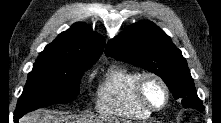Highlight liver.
I'll return each instance as SVG.
<instances>
[{
    "mask_svg": "<svg viewBox=\"0 0 221 123\" xmlns=\"http://www.w3.org/2000/svg\"><path fill=\"white\" fill-rule=\"evenodd\" d=\"M102 120L92 118L58 115V112L51 110H38L23 116L19 123H95Z\"/></svg>",
    "mask_w": 221,
    "mask_h": 123,
    "instance_id": "1",
    "label": "liver"
}]
</instances>
